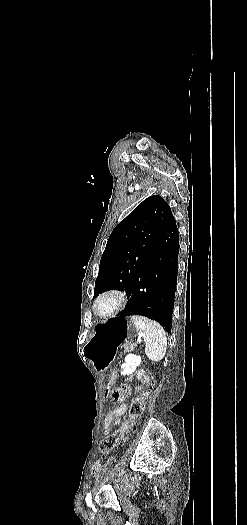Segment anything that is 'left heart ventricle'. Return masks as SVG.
<instances>
[{
  "instance_id": "1",
  "label": "left heart ventricle",
  "mask_w": 247,
  "mask_h": 525,
  "mask_svg": "<svg viewBox=\"0 0 247 525\" xmlns=\"http://www.w3.org/2000/svg\"><path fill=\"white\" fill-rule=\"evenodd\" d=\"M111 303H112V299L111 298H104L98 303V307H99V309H104V308L108 307Z\"/></svg>"
}]
</instances>
